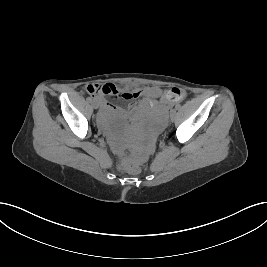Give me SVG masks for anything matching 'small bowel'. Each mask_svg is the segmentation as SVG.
<instances>
[{"instance_id": "small-bowel-1", "label": "small bowel", "mask_w": 267, "mask_h": 267, "mask_svg": "<svg viewBox=\"0 0 267 267\" xmlns=\"http://www.w3.org/2000/svg\"><path fill=\"white\" fill-rule=\"evenodd\" d=\"M92 85L86 87V91L94 96V101L101 104L104 108L113 109L101 95L91 93ZM131 100V108H146L151 114L157 115L164 113L169 107L173 106L176 100L173 99L170 91L162 90L158 87H142L131 91L129 94ZM144 96L142 101L137 102L136 99ZM159 99V100H158ZM115 108V107H114ZM118 112H123L120 108H115Z\"/></svg>"}]
</instances>
